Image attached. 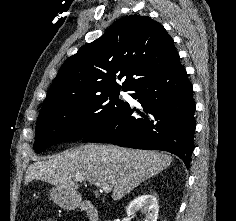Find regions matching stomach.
I'll list each match as a JSON object with an SVG mask.
<instances>
[{
  "label": "stomach",
  "instance_id": "obj_1",
  "mask_svg": "<svg viewBox=\"0 0 236 221\" xmlns=\"http://www.w3.org/2000/svg\"><path fill=\"white\" fill-rule=\"evenodd\" d=\"M50 195L52 200L64 209H75L81 203V195L78 192H70L59 186L53 187Z\"/></svg>",
  "mask_w": 236,
  "mask_h": 221
}]
</instances>
